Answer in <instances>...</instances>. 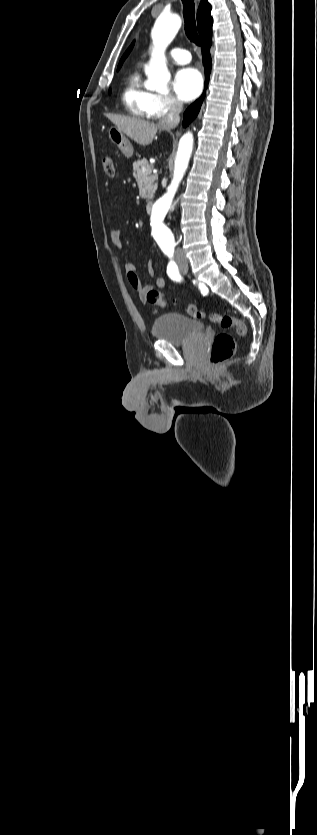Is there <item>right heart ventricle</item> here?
Listing matches in <instances>:
<instances>
[{
	"label": "right heart ventricle",
	"mask_w": 317,
	"mask_h": 835,
	"mask_svg": "<svg viewBox=\"0 0 317 835\" xmlns=\"http://www.w3.org/2000/svg\"><path fill=\"white\" fill-rule=\"evenodd\" d=\"M152 96L153 93L143 86L139 73L131 72L122 92V100L129 113L137 117H148Z\"/></svg>",
	"instance_id": "e07e8e85"
}]
</instances>
